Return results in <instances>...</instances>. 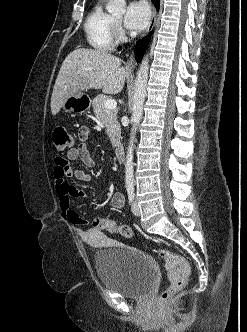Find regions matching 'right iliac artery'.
Segmentation results:
<instances>
[{
    "mask_svg": "<svg viewBox=\"0 0 247 332\" xmlns=\"http://www.w3.org/2000/svg\"><path fill=\"white\" fill-rule=\"evenodd\" d=\"M128 200L130 204L134 201V191H128Z\"/></svg>",
    "mask_w": 247,
    "mask_h": 332,
    "instance_id": "82829eb1",
    "label": "right iliac artery"
}]
</instances>
